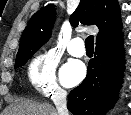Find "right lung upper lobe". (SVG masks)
<instances>
[{
  "label": "right lung upper lobe",
  "instance_id": "obj_1",
  "mask_svg": "<svg viewBox=\"0 0 131 115\" xmlns=\"http://www.w3.org/2000/svg\"><path fill=\"white\" fill-rule=\"evenodd\" d=\"M56 19L55 6L49 4L37 11L30 19L20 41L17 56L29 50H38L51 36ZM72 26L78 23L96 25L99 33L96 45L122 35L120 7L117 0H81L70 17ZM16 56V57H17Z\"/></svg>",
  "mask_w": 131,
  "mask_h": 115
}]
</instances>
